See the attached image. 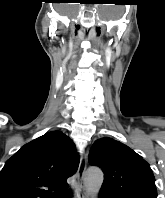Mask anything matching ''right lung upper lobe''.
<instances>
[{"label": "right lung upper lobe", "instance_id": "cb5924a9", "mask_svg": "<svg viewBox=\"0 0 165 198\" xmlns=\"http://www.w3.org/2000/svg\"><path fill=\"white\" fill-rule=\"evenodd\" d=\"M79 165L74 143L60 131L34 139L17 151L0 172V198H57ZM60 195V196H59Z\"/></svg>", "mask_w": 165, "mask_h": 198}]
</instances>
